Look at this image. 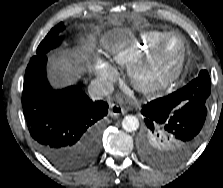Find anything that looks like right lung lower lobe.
<instances>
[{
	"instance_id": "1",
	"label": "right lung lower lobe",
	"mask_w": 223,
	"mask_h": 188,
	"mask_svg": "<svg viewBox=\"0 0 223 188\" xmlns=\"http://www.w3.org/2000/svg\"><path fill=\"white\" fill-rule=\"evenodd\" d=\"M46 55L33 56L26 68L22 106L27 126L40 152L63 170L92 161L100 147L104 101L90 100L78 86L54 90L46 77Z\"/></svg>"
}]
</instances>
